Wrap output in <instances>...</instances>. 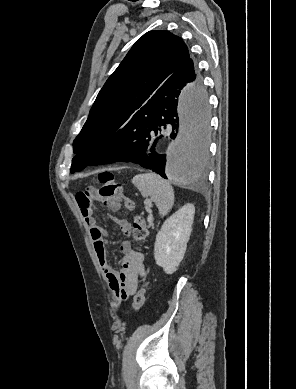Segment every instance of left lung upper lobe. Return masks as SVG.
<instances>
[{"label": "left lung upper lobe", "instance_id": "left-lung-upper-lobe-1", "mask_svg": "<svg viewBox=\"0 0 296 389\" xmlns=\"http://www.w3.org/2000/svg\"><path fill=\"white\" fill-rule=\"evenodd\" d=\"M192 75L201 80L186 44L167 31H149L130 49L100 90L73 142L71 173L98 165V153L141 108H147L168 78Z\"/></svg>", "mask_w": 296, "mask_h": 389}]
</instances>
